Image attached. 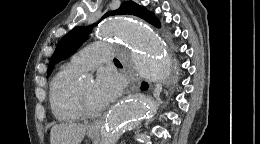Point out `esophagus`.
<instances>
[{
	"mask_svg": "<svg viewBox=\"0 0 260 144\" xmlns=\"http://www.w3.org/2000/svg\"><path fill=\"white\" fill-rule=\"evenodd\" d=\"M128 76L130 78V83H129L128 89L126 91V94L130 95L138 90L140 81L133 73H129ZM89 130H91V131L99 130V123H94V124L90 125Z\"/></svg>",
	"mask_w": 260,
	"mask_h": 144,
	"instance_id": "esophagus-1",
	"label": "esophagus"
}]
</instances>
